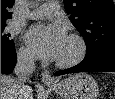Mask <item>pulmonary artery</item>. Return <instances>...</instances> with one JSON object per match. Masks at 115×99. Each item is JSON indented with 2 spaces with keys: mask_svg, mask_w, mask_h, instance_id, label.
Returning a JSON list of instances; mask_svg holds the SVG:
<instances>
[{
  "mask_svg": "<svg viewBox=\"0 0 115 99\" xmlns=\"http://www.w3.org/2000/svg\"><path fill=\"white\" fill-rule=\"evenodd\" d=\"M59 14V5L55 1H49L28 13V18H50Z\"/></svg>",
  "mask_w": 115,
  "mask_h": 99,
  "instance_id": "pulmonary-artery-1",
  "label": "pulmonary artery"
}]
</instances>
